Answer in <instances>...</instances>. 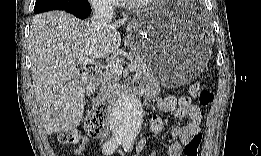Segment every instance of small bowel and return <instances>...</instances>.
<instances>
[{
    "instance_id": "1",
    "label": "small bowel",
    "mask_w": 261,
    "mask_h": 156,
    "mask_svg": "<svg viewBox=\"0 0 261 156\" xmlns=\"http://www.w3.org/2000/svg\"><path fill=\"white\" fill-rule=\"evenodd\" d=\"M130 83L142 94L154 96L156 88L149 82L133 78ZM156 106L161 112H172L177 119L189 118V121L184 125L176 126L171 131V143L167 150L168 156H180L183 146L192 138L196 133H200L203 125V117L198 105L194 104L188 96L175 97L167 96L162 99L156 100ZM151 130L159 133L164 128V122L159 116H153L150 121ZM90 142L88 136H84L79 146L74 150V155L82 156ZM146 148L145 140H139L135 154L141 155ZM105 153V152H104ZM107 155V154H106ZM111 155V154H110ZM151 156L155 155L152 149Z\"/></svg>"
}]
</instances>
